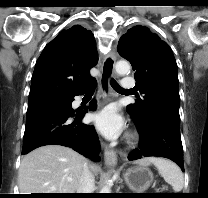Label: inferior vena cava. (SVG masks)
<instances>
[{
  "label": "inferior vena cava",
  "mask_w": 208,
  "mask_h": 198,
  "mask_svg": "<svg viewBox=\"0 0 208 198\" xmlns=\"http://www.w3.org/2000/svg\"><path fill=\"white\" fill-rule=\"evenodd\" d=\"M95 187L94 175L90 171L89 166L86 164L83 168L79 184L77 187V193H93Z\"/></svg>",
  "instance_id": "obj_1"
}]
</instances>
